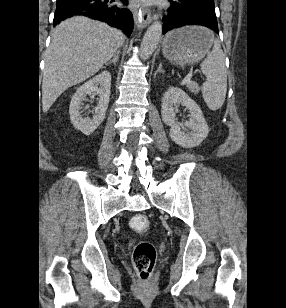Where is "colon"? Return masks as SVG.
<instances>
[{
	"instance_id": "1",
	"label": "colon",
	"mask_w": 286,
	"mask_h": 308,
	"mask_svg": "<svg viewBox=\"0 0 286 308\" xmlns=\"http://www.w3.org/2000/svg\"><path fill=\"white\" fill-rule=\"evenodd\" d=\"M130 226L136 232H145L149 228V220L146 215L138 214L132 217ZM132 260L141 281H148L156 262L155 247L145 241L138 243L134 248Z\"/></svg>"
}]
</instances>
